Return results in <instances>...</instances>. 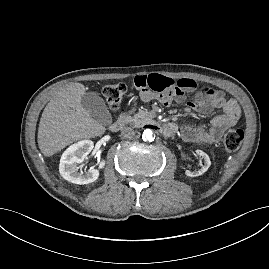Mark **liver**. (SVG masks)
I'll return each mask as SVG.
<instances>
[{
    "label": "liver",
    "instance_id": "6515ba94",
    "mask_svg": "<svg viewBox=\"0 0 269 269\" xmlns=\"http://www.w3.org/2000/svg\"><path fill=\"white\" fill-rule=\"evenodd\" d=\"M85 86L71 83L60 90L43 110L38 128V146L49 157L81 139L101 136L106 128L81 104Z\"/></svg>",
    "mask_w": 269,
    "mask_h": 269
}]
</instances>
